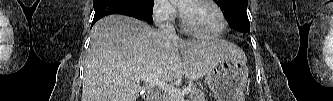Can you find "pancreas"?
Instances as JSON below:
<instances>
[{"instance_id":"1","label":"pancreas","mask_w":333,"mask_h":101,"mask_svg":"<svg viewBox=\"0 0 333 101\" xmlns=\"http://www.w3.org/2000/svg\"><path fill=\"white\" fill-rule=\"evenodd\" d=\"M191 101H206L205 93L196 87H192L189 96ZM161 101H178L177 98L165 93L161 96Z\"/></svg>"}]
</instances>
